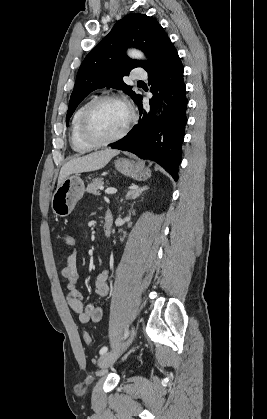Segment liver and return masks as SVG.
Instances as JSON below:
<instances>
[{
	"label": "liver",
	"mask_w": 267,
	"mask_h": 419,
	"mask_svg": "<svg viewBox=\"0 0 267 419\" xmlns=\"http://www.w3.org/2000/svg\"><path fill=\"white\" fill-rule=\"evenodd\" d=\"M119 153V150L105 149L69 160L60 170L58 185H60L63 180L71 174L90 172L103 168L114 156Z\"/></svg>",
	"instance_id": "1"
}]
</instances>
